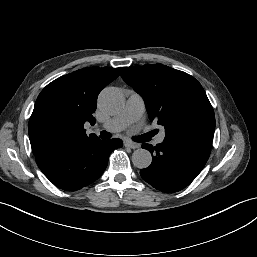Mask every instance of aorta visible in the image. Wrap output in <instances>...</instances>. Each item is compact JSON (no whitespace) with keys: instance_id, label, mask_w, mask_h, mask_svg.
Wrapping results in <instances>:
<instances>
[{"instance_id":"762f6f07","label":"aorta","mask_w":257,"mask_h":257,"mask_svg":"<svg viewBox=\"0 0 257 257\" xmlns=\"http://www.w3.org/2000/svg\"><path fill=\"white\" fill-rule=\"evenodd\" d=\"M99 105L108 113L120 111L124 106V96L117 88H105L99 95ZM151 162V153L146 149L139 148L132 154V163L139 169L149 167Z\"/></svg>"}]
</instances>
